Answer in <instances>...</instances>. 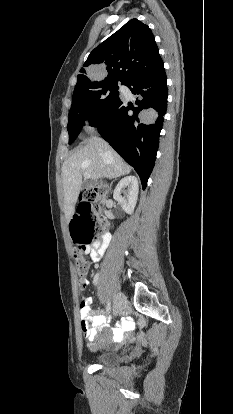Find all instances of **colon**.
<instances>
[{"mask_svg":"<svg viewBox=\"0 0 233 414\" xmlns=\"http://www.w3.org/2000/svg\"><path fill=\"white\" fill-rule=\"evenodd\" d=\"M108 193L107 187L99 186L88 190L85 197H94L95 201ZM105 223L99 215L98 206L83 204L77 208L70 223V231L76 247L74 248L75 267L78 273L79 288L83 290L84 281L80 278V273L87 275L89 262L84 257L86 248L94 241L96 236L104 230Z\"/></svg>","mask_w":233,"mask_h":414,"instance_id":"5ec220e1","label":"colon"}]
</instances>
